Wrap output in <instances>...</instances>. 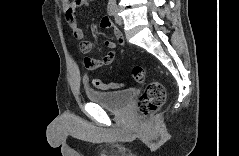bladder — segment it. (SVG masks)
I'll return each mask as SVG.
<instances>
[{"label":"bladder","mask_w":239,"mask_h":156,"mask_svg":"<svg viewBox=\"0 0 239 156\" xmlns=\"http://www.w3.org/2000/svg\"><path fill=\"white\" fill-rule=\"evenodd\" d=\"M135 91L133 89H127L122 91H97V90H86V96L89 101L100 105L102 108L112 111L121 112L130 104Z\"/></svg>","instance_id":"1"}]
</instances>
